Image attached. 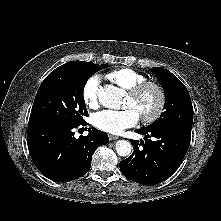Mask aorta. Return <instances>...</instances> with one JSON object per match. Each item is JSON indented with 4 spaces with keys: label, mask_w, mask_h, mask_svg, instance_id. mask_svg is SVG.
<instances>
[{
    "label": "aorta",
    "mask_w": 221,
    "mask_h": 221,
    "mask_svg": "<svg viewBox=\"0 0 221 221\" xmlns=\"http://www.w3.org/2000/svg\"><path fill=\"white\" fill-rule=\"evenodd\" d=\"M123 91L112 85H107L99 91V102L106 108L118 109L122 104ZM116 152L122 157L129 156L132 152V145L126 140L116 142Z\"/></svg>",
    "instance_id": "1"
}]
</instances>
